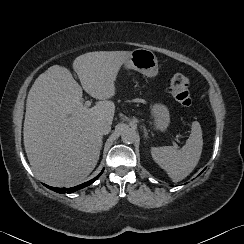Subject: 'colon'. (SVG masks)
I'll list each match as a JSON object with an SVG mask.
<instances>
[{
    "label": "colon",
    "instance_id": "5ec220e1",
    "mask_svg": "<svg viewBox=\"0 0 244 244\" xmlns=\"http://www.w3.org/2000/svg\"><path fill=\"white\" fill-rule=\"evenodd\" d=\"M189 88L190 80L183 73H176L170 80L169 92L184 107H190L193 103Z\"/></svg>",
    "mask_w": 244,
    "mask_h": 244
}]
</instances>
